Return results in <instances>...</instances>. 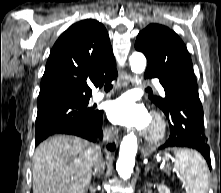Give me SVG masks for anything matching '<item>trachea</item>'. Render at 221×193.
Listing matches in <instances>:
<instances>
[{"label":"trachea","instance_id":"1","mask_svg":"<svg viewBox=\"0 0 221 193\" xmlns=\"http://www.w3.org/2000/svg\"><path fill=\"white\" fill-rule=\"evenodd\" d=\"M105 87L106 88H112V84H106Z\"/></svg>","mask_w":221,"mask_h":193}]
</instances>
